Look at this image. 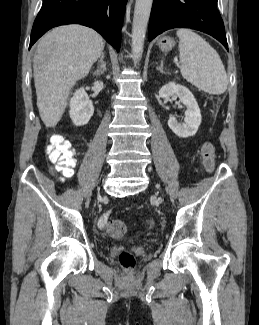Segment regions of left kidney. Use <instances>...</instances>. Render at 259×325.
<instances>
[{
    "label": "left kidney",
    "mask_w": 259,
    "mask_h": 325,
    "mask_svg": "<svg viewBox=\"0 0 259 325\" xmlns=\"http://www.w3.org/2000/svg\"><path fill=\"white\" fill-rule=\"evenodd\" d=\"M176 94L180 101L187 107L183 123H179L174 116L168 120L169 128L179 137L187 138L195 135L201 124L200 108L193 94L185 86L169 82L159 90V96L163 99Z\"/></svg>",
    "instance_id": "5707ae66"
}]
</instances>
